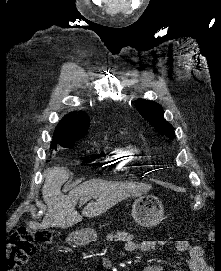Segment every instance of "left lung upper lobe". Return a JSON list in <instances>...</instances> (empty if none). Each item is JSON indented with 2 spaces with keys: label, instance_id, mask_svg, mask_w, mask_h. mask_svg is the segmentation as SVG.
Here are the masks:
<instances>
[{
  "label": "left lung upper lobe",
  "instance_id": "1",
  "mask_svg": "<svg viewBox=\"0 0 221 271\" xmlns=\"http://www.w3.org/2000/svg\"><path fill=\"white\" fill-rule=\"evenodd\" d=\"M136 107L140 114L162 135L172 137L173 127L163 118L162 107L152 101L139 100Z\"/></svg>",
  "mask_w": 221,
  "mask_h": 271
}]
</instances>
